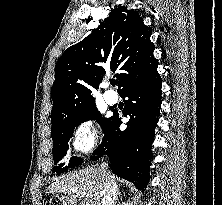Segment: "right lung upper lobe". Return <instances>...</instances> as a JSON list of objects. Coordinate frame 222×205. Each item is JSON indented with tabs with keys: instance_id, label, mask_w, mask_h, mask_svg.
Returning <instances> with one entry per match:
<instances>
[{
	"instance_id": "cb5924a9",
	"label": "right lung upper lobe",
	"mask_w": 222,
	"mask_h": 205,
	"mask_svg": "<svg viewBox=\"0 0 222 205\" xmlns=\"http://www.w3.org/2000/svg\"><path fill=\"white\" fill-rule=\"evenodd\" d=\"M151 33L136 11L119 6L93 33L66 49L51 88L52 123L95 104L93 92L105 69L118 72L119 92L131 80L154 70L158 62Z\"/></svg>"
}]
</instances>
